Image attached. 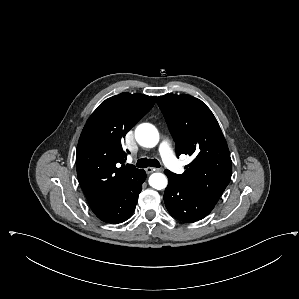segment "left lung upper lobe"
I'll return each mask as SVG.
<instances>
[{
  "mask_svg": "<svg viewBox=\"0 0 299 299\" xmlns=\"http://www.w3.org/2000/svg\"><path fill=\"white\" fill-rule=\"evenodd\" d=\"M176 154L192 156L186 171L170 175L210 201L217 203L229 184L232 162L226 140L211 110L190 95L168 94L158 97Z\"/></svg>",
  "mask_w": 299,
  "mask_h": 299,
  "instance_id": "obj_1",
  "label": "left lung upper lobe"
}]
</instances>
